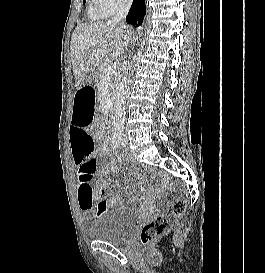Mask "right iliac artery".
<instances>
[{"label":"right iliac artery","mask_w":265,"mask_h":273,"mask_svg":"<svg viewBox=\"0 0 265 273\" xmlns=\"http://www.w3.org/2000/svg\"><path fill=\"white\" fill-rule=\"evenodd\" d=\"M123 128L121 125H117L115 128V133L111 141V146L113 150H116L119 146V141L122 135Z\"/></svg>","instance_id":"1"}]
</instances>
